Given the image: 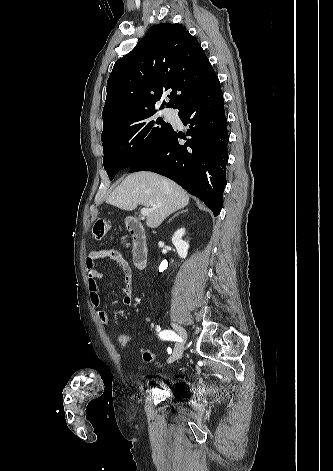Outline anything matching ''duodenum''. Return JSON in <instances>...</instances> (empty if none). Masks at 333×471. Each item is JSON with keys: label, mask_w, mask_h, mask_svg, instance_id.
I'll return each instance as SVG.
<instances>
[{"label": "duodenum", "mask_w": 333, "mask_h": 471, "mask_svg": "<svg viewBox=\"0 0 333 471\" xmlns=\"http://www.w3.org/2000/svg\"><path fill=\"white\" fill-rule=\"evenodd\" d=\"M126 227L132 237L133 263L138 269H144L148 263V245L143 225L135 218L126 220Z\"/></svg>", "instance_id": "obj_1"}]
</instances>
